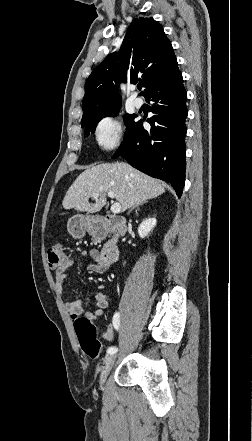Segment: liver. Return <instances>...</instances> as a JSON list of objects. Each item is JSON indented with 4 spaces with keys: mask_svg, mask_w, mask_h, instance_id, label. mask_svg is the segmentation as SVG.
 Masks as SVG:
<instances>
[{
    "mask_svg": "<svg viewBox=\"0 0 252 441\" xmlns=\"http://www.w3.org/2000/svg\"><path fill=\"white\" fill-rule=\"evenodd\" d=\"M113 192L122 211L156 198L165 192L164 184L134 169L127 163H104L83 171L68 189L63 208L94 213L106 204V195ZM99 194L96 202L89 199Z\"/></svg>",
    "mask_w": 252,
    "mask_h": 441,
    "instance_id": "6515ba94",
    "label": "liver"
}]
</instances>
